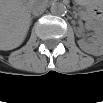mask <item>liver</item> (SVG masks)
Returning <instances> with one entry per match:
<instances>
[{
    "label": "liver",
    "instance_id": "6515ba94",
    "mask_svg": "<svg viewBox=\"0 0 103 103\" xmlns=\"http://www.w3.org/2000/svg\"><path fill=\"white\" fill-rule=\"evenodd\" d=\"M31 5V2L24 0L1 2V50H12L23 43L31 23Z\"/></svg>",
    "mask_w": 103,
    "mask_h": 103
}]
</instances>
